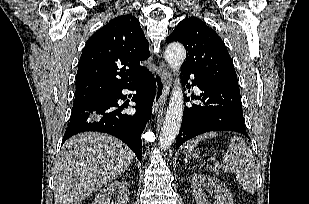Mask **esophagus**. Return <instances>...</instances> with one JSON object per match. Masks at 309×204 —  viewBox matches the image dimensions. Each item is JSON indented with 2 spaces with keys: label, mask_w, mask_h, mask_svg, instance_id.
I'll list each match as a JSON object with an SVG mask.
<instances>
[{
  "label": "esophagus",
  "mask_w": 309,
  "mask_h": 204,
  "mask_svg": "<svg viewBox=\"0 0 309 204\" xmlns=\"http://www.w3.org/2000/svg\"><path fill=\"white\" fill-rule=\"evenodd\" d=\"M156 95L152 112L155 114L167 101L170 93L172 75L170 70L163 64H159V71L155 74Z\"/></svg>",
  "instance_id": "esophagus-1"
}]
</instances>
